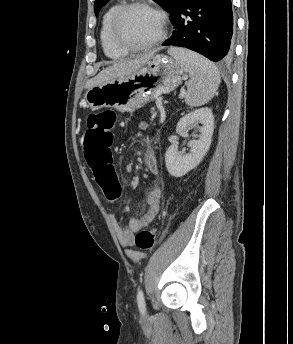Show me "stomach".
<instances>
[{
    "instance_id": "1",
    "label": "stomach",
    "mask_w": 293,
    "mask_h": 344,
    "mask_svg": "<svg viewBox=\"0 0 293 344\" xmlns=\"http://www.w3.org/2000/svg\"><path fill=\"white\" fill-rule=\"evenodd\" d=\"M183 73L174 58L154 54L130 75L88 89L85 99L93 110L110 107L132 113L154 97L176 89Z\"/></svg>"
}]
</instances>
